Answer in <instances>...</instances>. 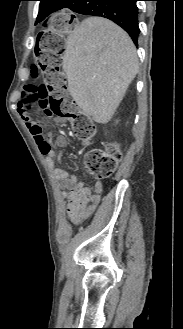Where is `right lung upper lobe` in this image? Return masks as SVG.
<instances>
[{
  "label": "right lung upper lobe",
  "instance_id": "1",
  "mask_svg": "<svg viewBox=\"0 0 183 329\" xmlns=\"http://www.w3.org/2000/svg\"><path fill=\"white\" fill-rule=\"evenodd\" d=\"M69 0H40L39 14L37 22H41L48 18L53 12L62 8H70V5L65 3Z\"/></svg>",
  "mask_w": 183,
  "mask_h": 329
}]
</instances>
